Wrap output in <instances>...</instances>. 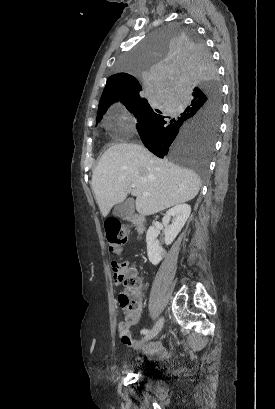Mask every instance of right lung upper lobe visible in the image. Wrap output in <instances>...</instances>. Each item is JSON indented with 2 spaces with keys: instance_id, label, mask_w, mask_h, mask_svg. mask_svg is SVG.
<instances>
[{
  "instance_id": "obj_1",
  "label": "right lung upper lobe",
  "mask_w": 275,
  "mask_h": 409,
  "mask_svg": "<svg viewBox=\"0 0 275 409\" xmlns=\"http://www.w3.org/2000/svg\"><path fill=\"white\" fill-rule=\"evenodd\" d=\"M141 90L142 87L139 81L130 74L118 73L110 76L102 93L98 112L108 108L117 100L140 96Z\"/></svg>"
}]
</instances>
